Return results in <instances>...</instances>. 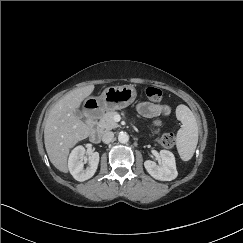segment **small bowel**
Wrapping results in <instances>:
<instances>
[{"instance_id": "1", "label": "small bowel", "mask_w": 243, "mask_h": 243, "mask_svg": "<svg viewBox=\"0 0 243 243\" xmlns=\"http://www.w3.org/2000/svg\"><path fill=\"white\" fill-rule=\"evenodd\" d=\"M137 109L140 115L146 118L157 116L168 117L171 114V107L168 104L142 102L138 105Z\"/></svg>"}]
</instances>
